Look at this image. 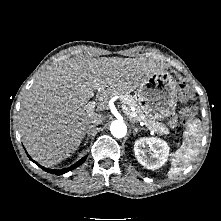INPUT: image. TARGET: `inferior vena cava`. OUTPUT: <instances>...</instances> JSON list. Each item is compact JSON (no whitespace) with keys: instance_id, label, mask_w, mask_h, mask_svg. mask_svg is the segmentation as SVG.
Listing matches in <instances>:
<instances>
[{"instance_id":"602c4592","label":"inferior vena cava","mask_w":221,"mask_h":221,"mask_svg":"<svg viewBox=\"0 0 221 221\" xmlns=\"http://www.w3.org/2000/svg\"><path fill=\"white\" fill-rule=\"evenodd\" d=\"M103 118L99 115V116H95L93 118L90 119V123L92 124H101L102 123Z\"/></svg>"}]
</instances>
